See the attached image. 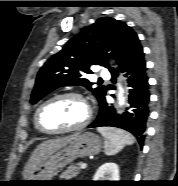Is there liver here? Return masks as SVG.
Wrapping results in <instances>:
<instances>
[{
  "label": "liver",
  "instance_id": "6515ba94",
  "mask_svg": "<svg viewBox=\"0 0 178 186\" xmlns=\"http://www.w3.org/2000/svg\"><path fill=\"white\" fill-rule=\"evenodd\" d=\"M78 134L69 135L66 137L50 139L39 144L33 151L28 162L26 163L22 176L26 179L37 167L43 163L49 155L57 151L58 149L67 145Z\"/></svg>",
  "mask_w": 178,
  "mask_h": 186
}]
</instances>
